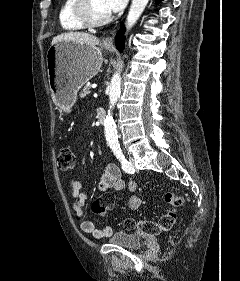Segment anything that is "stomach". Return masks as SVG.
I'll use <instances>...</instances> for the list:
<instances>
[{"label": "stomach", "mask_w": 240, "mask_h": 281, "mask_svg": "<svg viewBox=\"0 0 240 281\" xmlns=\"http://www.w3.org/2000/svg\"><path fill=\"white\" fill-rule=\"evenodd\" d=\"M101 47L74 41H59L51 45L46 55L48 82L52 98L60 107L69 109L76 101L78 90L95 76L102 65Z\"/></svg>", "instance_id": "obj_1"}]
</instances>
